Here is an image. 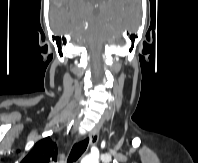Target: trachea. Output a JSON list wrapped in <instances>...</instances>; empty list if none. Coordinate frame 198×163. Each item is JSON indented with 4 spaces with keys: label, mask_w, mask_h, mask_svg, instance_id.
I'll use <instances>...</instances> for the list:
<instances>
[{
    "label": "trachea",
    "mask_w": 198,
    "mask_h": 163,
    "mask_svg": "<svg viewBox=\"0 0 198 163\" xmlns=\"http://www.w3.org/2000/svg\"><path fill=\"white\" fill-rule=\"evenodd\" d=\"M88 143H89V138H86L76 143L70 152L67 162L72 163L74 161H77L79 157L85 152Z\"/></svg>",
    "instance_id": "3493384b"
}]
</instances>
